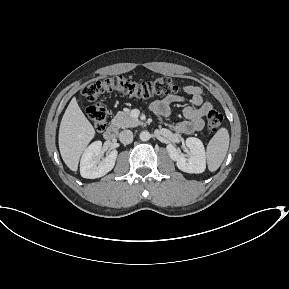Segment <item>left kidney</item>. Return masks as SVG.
Segmentation results:
<instances>
[{
    "mask_svg": "<svg viewBox=\"0 0 289 289\" xmlns=\"http://www.w3.org/2000/svg\"><path fill=\"white\" fill-rule=\"evenodd\" d=\"M187 154L180 153L173 145H168L170 158L176 162L177 167L186 173L199 174L205 171L206 154L202 141L195 137L186 139Z\"/></svg>",
    "mask_w": 289,
    "mask_h": 289,
    "instance_id": "obj_1",
    "label": "left kidney"
}]
</instances>
